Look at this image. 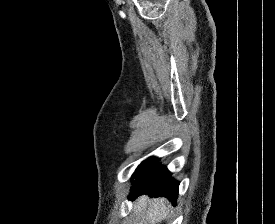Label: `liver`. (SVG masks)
<instances>
[{"label": "liver", "instance_id": "liver-1", "mask_svg": "<svg viewBox=\"0 0 275 224\" xmlns=\"http://www.w3.org/2000/svg\"><path fill=\"white\" fill-rule=\"evenodd\" d=\"M169 207L170 204L165 198L150 199L143 195L136 200L133 211L137 214L148 208L145 224H159L167 217Z\"/></svg>", "mask_w": 275, "mask_h": 224}]
</instances>
